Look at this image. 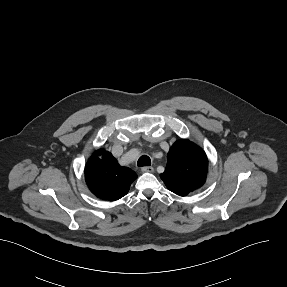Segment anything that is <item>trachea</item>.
Wrapping results in <instances>:
<instances>
[{
    "label": "trachea",
    "instance_id": "trachea-1",
    "mask_svg": "<svg viewBox=\"0 0 287 287\" xmlns=\"http://www.w3.org/2000/svg\"><path fill=\"white\" fill-rule=\"evenodd\" d=\"M137 165L139 167H143V166H150L151 165V159L146 156V155H142L138 161H137Z\"/></svg>",
    "mask_w": 287,
    "mask_h": 287
}]
</instances>
